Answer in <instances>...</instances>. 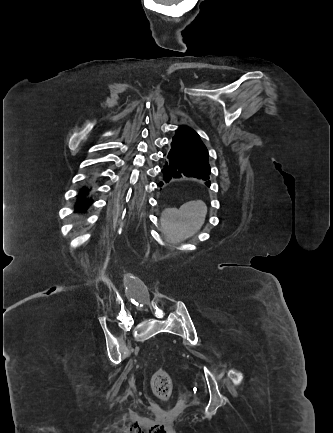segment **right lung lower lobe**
I'll return each mask as SVG.
<instances>
[{
	"instance_id": "obj_1",
	"label": "right lung lower lobe",
	"mask_w": 333,
	"mask_h": 433,
	"mask_svg": "<svg viewBox=\"0 0 333 433\" xmlns=\"http://www.w3.org/2000/svg\"><path fill=\"white\" fill-rule=\"evenodd\" d=\"M88 191H89V189L87 187H83L80 190V195H79V197L77 199V203H76V206L79 210H84L93 202V200L91 198L87 197Z\"/></svg>"
}]
</instances>
